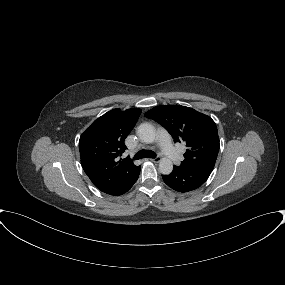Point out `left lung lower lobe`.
Segmentation results:
<instances>
[{"label": "left lung lower lobe", "instance_id": "obj_1", "mask_svg": "<svg viewBox=\"0 0 285 285\" xmlns=\"http://www.w3.org/2000/svg\"><path fill=\"white\" fill-rule=\"evenodd\" d=\"M213 169L173 167L172 173L162 175L164 182L178 192H189L199 188L209 177Z\"/></svg>", "mask_w": 285, "mask_h": 285}]
</instances>
